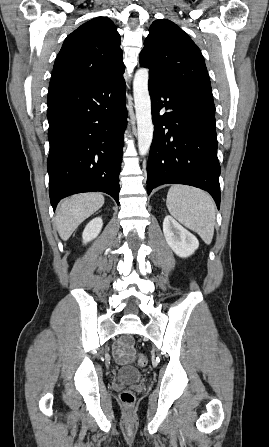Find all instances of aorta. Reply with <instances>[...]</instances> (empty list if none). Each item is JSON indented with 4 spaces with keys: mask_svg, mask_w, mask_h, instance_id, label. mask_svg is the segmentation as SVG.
I'll use <instances>...</instances> for the list:
<instances>
[{
    "mask_svg": "<svg viewBox=\"0 0 269 447\" xmlns=\"http://www.w3.org/2000/svg\"><path fill=\"white\" fill-rule=\"evenodd\" d=\"M149 70L140 68L133 80V92L138 132L139 156H146L153 140L154 126L151 116V100L148 92Z\"/></svg>",
    "mask_w": 269,
    "mask_h": 447,
    "instance_id": "obj_1",
    "label": "aorta"
}]
</instances>
